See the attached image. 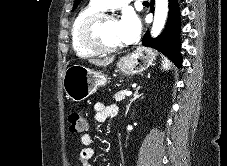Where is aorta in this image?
Returning a JSON list of instances; mask_svg holds the SVG:
<instances>
[{
	"label": "aorta",
	"instance_id": "762f6f07",
	"mask_svg": "<svg viewBox=\"0 0 227 166\" xmlns=\"http://www.w3.org/2000/svg\"><path fill=\"white\" fill-rule=\"evenodd\" d=\"M168 15V0H155L154 21L151 30L152 37H157L166 22Z\"/></svg>",
	"mask_w": 227,
	"mask_h": 166
}]
</instances>
